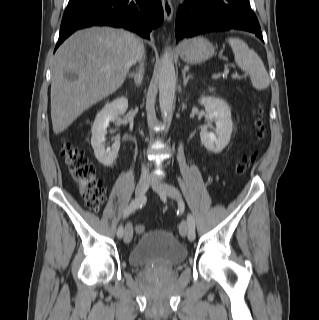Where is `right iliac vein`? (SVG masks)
<instances>
[{
	"label": "right iliac vein",
	"mask_w": 319,
	"mask_h": 320,
	"mask_svg": "<svg viewBox=\"0 0 319 320\" xmlns=\"http://www.w3.org/2000/svg\"><path fill=\"white\" fill-rule=\"evenodd\" d=\"M149 179L148 178H142L139 180V182L137 183L136 185V195L137 196H143L147 189H148V186H149ZM132 236H133V230H132V225L131 224H128L126 227H125V231H124V242L125 243H130L131 240H132Z\"/></svg>",
	"instance_id": "1"
}]
</instances>
